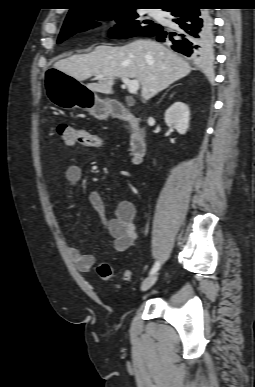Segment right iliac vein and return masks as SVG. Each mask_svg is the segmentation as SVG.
<instances>
[{"label": "right iliac vein", "instance_id": "63e3f726", "mask_svg": "<svg viewBox=\"0 0 255 387\" xmlns=\"http://www.w3.org/2000/svg\"><path fill=\"white\" fill-rule=\"evenodd\" d=\"M156 281H157V274H154V275L146 278L141 285V290L147 291L155 284Z\"/></svg>", "mask_w": 255, "mask_h": 387}]
</instances>
